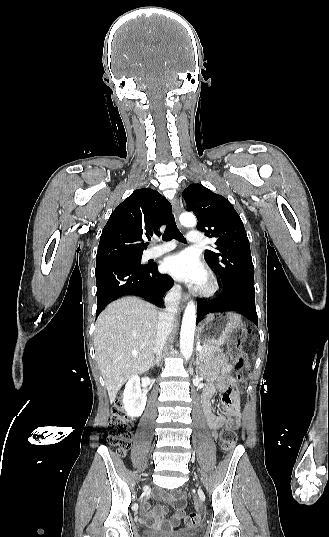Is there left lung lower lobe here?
Listing matches in <instances>:
<instances>
[{
	"mask_svg": "<svg viewBox=\"0 0 329 537\" xmlns=\"http://www.w3.org/2000/svg\"><path fill=\"white\" fill-rule=\"evenodd\" d=\"M215 311H234L245 316L249 321L258 325L255 307L254 285L238 283L224 288L214 299H200L197 303V322L200 316Z\"/></svg>",
	"mask_w": 329,
	"mask_h": 537,
	"instance_id": "0a47b994",
	"label": "left lung lower lobe"
}]
</instances>
